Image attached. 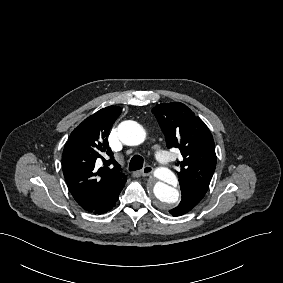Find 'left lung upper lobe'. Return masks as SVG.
<instances>
[{
  "label": "left lung upper lobe",
  "mask_w": 283,
  "mask_h": 283,
  "mask_svg": "<svg viewBox=\"0 0 283 283\" xmlns=\"http://www.w3.org/2000/svg\"><path fill=\"white\" fill-rule=\"evenodd\" d=\"M165 135L167 147L183 156L178 172L180 187L194 186L207 192L216 168L212 134L206 124L180 102L163 103L152 109Z\"/></svg>",
  "instance_id": "obj_1"
}]
</instances>
